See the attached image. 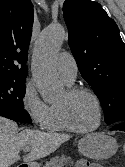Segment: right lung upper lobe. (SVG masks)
Masks as SVG:
<instances>
[{
  "instance_id": "cb5924a9",
  "label": "right lung upper lobe",
  "mask_w": 125,
  "mask_h": 167,
  "mask_svg": "<svg viewBox=\"0 0 125 167\" xmlns=\"http://www.w3.org/2000/svg\"><path fill=\"white\" fill-rule=\"evenodd\" d=\"M33 19L30 0H0V78H26Z\"/></svg>"
}]
</instances>
